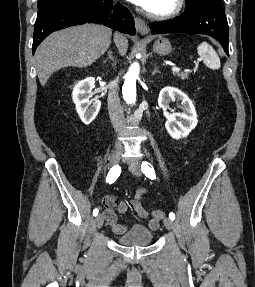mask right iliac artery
I'll list each match as a JSON object with an SVG mask.
<instances>
[{
	"mask_svg": "<svg viewBox=\"0 0 255 287\" xmlns=\"http://www.w3.org/2000/svg\"><path fill=\"white\" fill-rule=\"evenodd\" d=\"M120 173H121V167L119 165L113 166L110 169V171L108 172V175L106 177V181L109 184L114 183L117 180V178L119 177ZM97 214H98V209H94L93 210V215L97 216Z\"/></svg>",
	"mask_w": 255,
	"mask_h": 287,
	"instance_id": "1",
	"label": "right iliac artery"
}]
</instances>
